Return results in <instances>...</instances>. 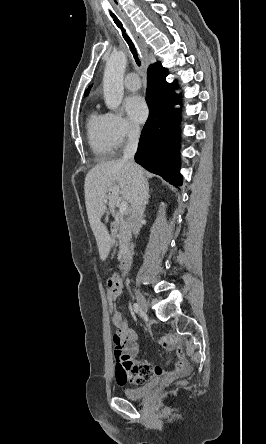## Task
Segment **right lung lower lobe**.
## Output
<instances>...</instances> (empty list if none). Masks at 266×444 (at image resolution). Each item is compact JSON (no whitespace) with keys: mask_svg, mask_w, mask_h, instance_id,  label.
<instances>
[{"mask_svg":"<svg viewBox=\"0 0 266 444\" xmlns=\"http://www.w3.org/2000/svg\"><path fill=\"white\" fill-rule=\"evenodd\" d=\"M167 74L159 62L148 68L149 117L141 132L135 161L176 186L182 183L179 153L173 143L178 135L176 121L179 120V111L173 106L179 102V96L174 92L176 85L166 82Z\"/></svg>","mask_w":266,"mask_h":444,"instance_id":"98d812e1","label":"right lung lower lobe"}]
</instances>
